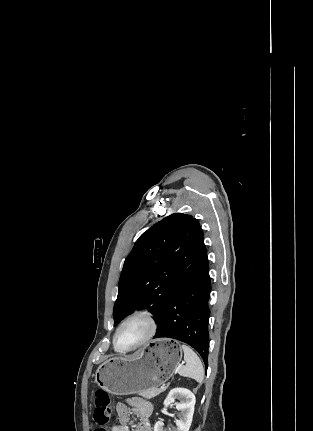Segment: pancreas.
<instances>
[{
    "mask_svg": "<svg viewBox=\"0 0 313 431\" xmlns=\"http://www.w3.org/2000/svg\"><path fill=\"white\" fill-rule=\"evenodd\" d=\"M165 389L166 388H164V389L150 388V389H147V390H143V391L139 392L138 394L141 395V396H143L144 398L151 399V398H154L157 395H159Z\"/></svg>",
    "mask_w": 313,
    "mask_h": 431,
    "instance_id": "cf45deb5",
    "label": "pancreas"
}]
</instances>
